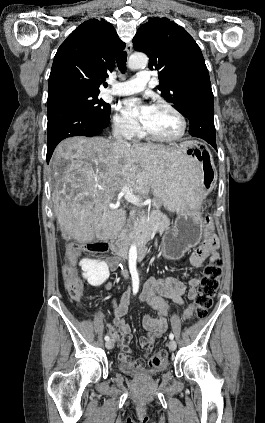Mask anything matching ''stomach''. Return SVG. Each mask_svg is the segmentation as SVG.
Instances as JSON below:
<instances>
[{"mask_svg": "<svg viewBox=\"0 0 265 423\" xmlns=\"http://www.w3.org/2000/svg\"><path fill=\"white\" fill-rule=\"evenodd\" d=\"M181 153L185 170L192 168L196 177L190 182L189 201L177 213L174 225L162 240V256L167 260L182 258L191 247L198 244L202 234V218L199 201L211 190L215 167L207 145L198 140H186L175 146Z\"/></svg>", "mask_w": 265, "mask_h": 423, "instance_id": "1", "label": "stomach"}]
</instances>
